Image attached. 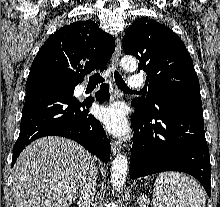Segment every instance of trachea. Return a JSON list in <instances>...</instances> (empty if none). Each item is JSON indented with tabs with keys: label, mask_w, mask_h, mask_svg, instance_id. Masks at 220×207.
<instances>
[{
	"label": "trachea",
	"mask_w": 220,
	"mask_h": 207,
	"mask_svg": "<svg viewBox=\"0 0 220 207\" xmlns=\"http://www.w3.org/2000/svg\"><path fill=\"white\" fill-rule=\"evenodd\" d=\"M114 78L117 86L124 92H135L131 90L130 88L127 87L125 81L123 80L122 76L119 74L118 71H114ZM89 82L90 83H102L104 82V77L101 76L100 74H94L89 77Z\"/></svg>",
	"instance_id": "obj_1"
}]
</instances>
